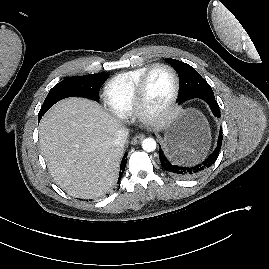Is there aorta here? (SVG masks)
<instances>
[{"label": "aorta", "mask_w": 269, "mask_h": 269, "mask_svg": "<svg viewBox=\"0 0 269 269\" xmlns=\"http://www.w3.org/2000/svg\"><path fill=\"white\" fill-rule=\"evenodd\" d=\"M157 147L156 141L153 138H146L142 141V148L146 152H153Z\"/></svg>", "instance_id": "762f6f07"}]
</instances>
